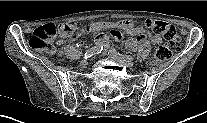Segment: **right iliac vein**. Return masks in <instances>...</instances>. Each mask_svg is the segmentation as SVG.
<instances>
[{
  "label": "right iliac vein",
  "instance_id": "obj_1",
  "mask_svg": "<svg viewBox=\"0 0 207 123\" xmlns=\"http://www.w3.org/2000/svg\"><path fill=\"white\" fill-rule=\"evenodd\" d=\"M87 65H88V61H87V60H82V61L80 62V67H82V68L87 67Z\"/></svg>",
  "mask_w": 207,
  "mask_h": 123
}]
</instances>
